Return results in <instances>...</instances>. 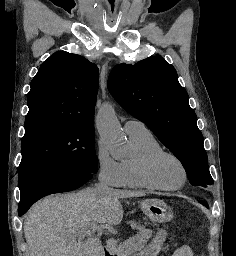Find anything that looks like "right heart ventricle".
<instances>
[{"label": "right heart ventricle", "instance_id": "obj_1", "mask_svg": "<svg viewBox=\"0 0 236 256\" xmlns=\"http://www.w3.org/2000/svg\"><path fill=\"white\" fill-rule=\"evenodd\" d=\"M134 147L132 157L121 161L124 172V186L133 189H152L144 179L142 166L145 158L155 152L161 151L162 147L155 137L148 131L130 135Z\"/></svg>", "mask_w": 236, "mask_h": 256}]
</instances>
